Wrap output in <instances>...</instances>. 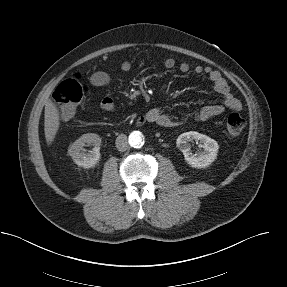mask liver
Masks as SVG:
<instances>
[{"label":"liver","mask_w":287,"mask_h":287,"mask_svg":"<svg viewBox=\"0 0 287 287\" xmlns=\"http://www.w3.org/2000/svg\"><path fill=\"white\" fill-rule=\"evenodd\" d=\"M44 133L48 145H50L56 136L60 125L59 111L51 100L45 104L44 111Z\"/></svg>","instance_id":"liver-1"}]
</instances>
